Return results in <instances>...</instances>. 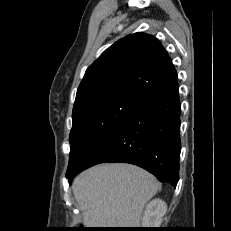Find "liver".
I'll return each instance as SVG.
<instances>
[{"instance_id":"6515ba94","label":"liver","mask_w":231,"mask_h":231,"mask_svg":"<svg viewBox=\"0 0 231 231\" xmlns=\"http://www.w3.org/2000/svg\"><path fill=\"white\" fill-rule=\"evenodd\" d=\"M72 188L88 228H138L147 202L160 185L137 166L112 163L82 172Z\"/></svg>"}]
</instances>
